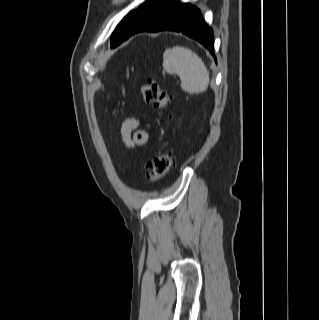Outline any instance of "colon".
Wrapping results in <instances>:
<instances>
[{"label":"colon","instance_id":"obj_1","mask_svg":"<svg viewBox=\"0 0 319 320\" xmlns=\"http://www.w3.org/2000/svg\"><path fill=\"white\" fill-rule=\"evenodd\" d=\"M141 95L145 102L150 103L156 110L164 109L169 103L168 93L154 79H147L141 87ZM174 164V157L168 150L153 156L147 167L145 178L148 182H155L170 172Z\"/></svg>","mask_w":319,"mask_h":320}]
</instances>
